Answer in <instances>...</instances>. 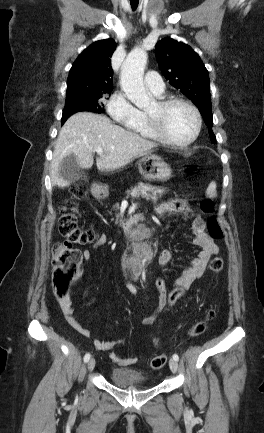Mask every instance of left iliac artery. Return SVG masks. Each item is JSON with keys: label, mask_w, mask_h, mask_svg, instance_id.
I'll return each mask as SVG.
<instances>
[{"label": "left iliac artery", "mask_w": 264, "mask_h": 433, "mask_svg": "<svg viewBox=\"0 0 264 433\" xmlns=\"http://www.w3.org/2000/svg\"><path fill=\"white\" fill-rule=\"evenodd\" d=\"M173 359L176 360V361H178L179 360V356L177 354H174L173 355Z\"/></svg>", "instance_id": "left-iliac-artery-1"}]
</instances>
